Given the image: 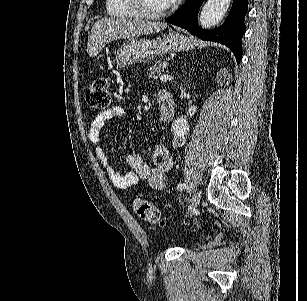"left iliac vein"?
<instances>
[{
	"label": "left iliac vein",
	"mask_w": 307,
	"mask_h": 301,
	"mask_svg": "<svg viewBox=\"0 0 307 301\" xmlns=\"http://www.w3.org/2000/svg\"><path fill=\"white\" fill-rule=\"evenodd\" d=\"M200 200H201L200 194L197 190H195L190 200L188 214H192L196 210V208L198 207L200 203Z\"/></svg>",
	"instance_id": "obj_1"
}]
</instances>
